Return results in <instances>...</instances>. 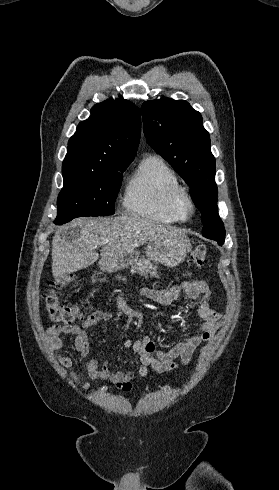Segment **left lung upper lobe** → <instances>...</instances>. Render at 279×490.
<instances>
[{"mask_svg":"<svg viewBox=\"0 0 279 490\" xmlns=\"http://www.w3.org/2000/svg\"><path fill=\"white\" fill-rule=\"evenodd\" d=\"M142 118L149 145L190 186L191 197L201 212L203 237L222 245L225 228L218 215L215 158L201 114L184 100L167 98L144 102Z\"/></svg>","mask_w":279,"mask_h":490,"instance_id":"left-lung-upper-lobe-1","label":"left lung upper lobe"}]
</instances>
